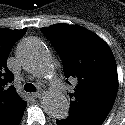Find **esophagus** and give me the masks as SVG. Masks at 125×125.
<instances>
[{
  "label": "esophagus",
  "instance_id": "esophagus-1",
  "mask_svg": "<svg viewBox=\"0 0 125 125\" xmlns=\"http://www.w3.org/2000/svg\"><path fill=\"white\" fill-rule=\"evenodd\" d=\"M42 96V92H35L32 94L33 98H40Z\"/></svg>",
  "mask_w": 125,
  "mask_h": 125
}]
</instances>
